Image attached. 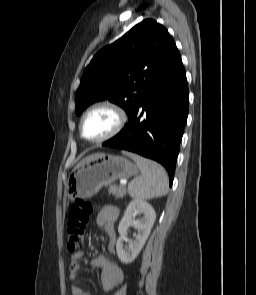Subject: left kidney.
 <instances>
[{
    "instance_id": "left-kidney-1",
    "label": "left kidney",
    "mask_w": 256,
    "mask_h": 295,
    "mask_svg": "<svg viewBox=\"0 0 256 295\" xmlns=\"http://www.w3.org/2000/svg\"><path fill=\"white\" fill-rule=\"evenodd\" d=\"M139 212L143 214V217L135 221L133 217ZM155 219L156 213L148 202L134 199L129 203L118 226L120 237L116 243L117 255L123 264L131 263L138 256L149 237ZM132 224H134L137 234H135V239L129 243V246H126L124 240L127 236L128 227Z\"/></svg>"
}]
</instances>
